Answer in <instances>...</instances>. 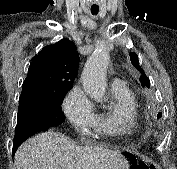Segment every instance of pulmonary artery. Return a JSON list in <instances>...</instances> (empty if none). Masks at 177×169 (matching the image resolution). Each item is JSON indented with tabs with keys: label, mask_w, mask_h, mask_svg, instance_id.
<instances>
[{
	"label": "pulmonary artery",
	"mask_w": 177,
	"mask_h": 169,
	"mask_svg": "<svg viewBox=\"0 0 177 169\" xmlns=\"http://www.w3.org/2000/svg\"><path fill=\"white\" fill-rule=\"evenodd\" d=\"M124 87H125V83L122 80H120L118 78H114L112 80V89L113 90H121Z\"/></svg>",
	"instance_id": "1"
}]
</instances>
